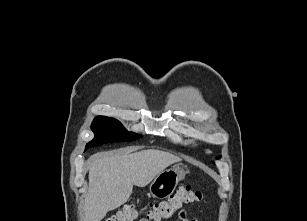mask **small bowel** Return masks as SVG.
Returning <instances> with one entry per match:
<instances>
[{
  "label": "small bowel",
  "instance_id": "1",
  "mask_svg": "<svg viewBox=\"0 0 307 221\" xmlns=\"http://www.w3.org/2000/svg\"><path fill=\"white\" fill-rule=\"evenodd\" d=\"M176 221H199V220L196 218L188 217L186 211L182 209L179 211Z\"/></svg>",
  "mask_w": 307,
  "mask_h": 221
}]
</instances>
